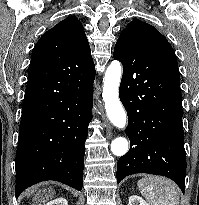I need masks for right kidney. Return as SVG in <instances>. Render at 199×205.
<instances>
[{"instance_id": "1", "label": "right kidney", "mask_w": 199, "mask_h": 205, "mask_svg": "<svg viewBox=\"0 0 199 205\" xmlns=\"http://www.w3.org/2000/svg\"><path fill=\"white\" fill-rule=\"evenodd\" d=\"M45 205H68V202L65 198H57L55 200L48 202Z\"/></svg>"}]
</instances>
